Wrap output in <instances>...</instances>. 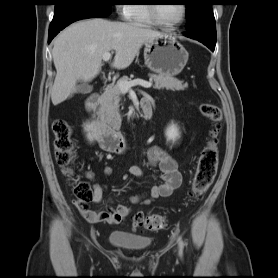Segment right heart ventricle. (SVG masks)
Segmentation results:
<instances>
[{
  "mask_svg": "<svg viewBox=\"0 0 278 278\" xmlns=\"http://www.w3.org/2000/svg\"><path fill=\"white\" fill-rule=\"evenodd\" d=\"M129 20L139 25H144V26L153 25L148 14V5L146 4L131 5V13H130Z\"/></svg>",
  "mask_w": 278,
  "mask_h": 278,
  "instance_id": "obj_1",
  "label": "right heart ventricle"
}]
</instances>
